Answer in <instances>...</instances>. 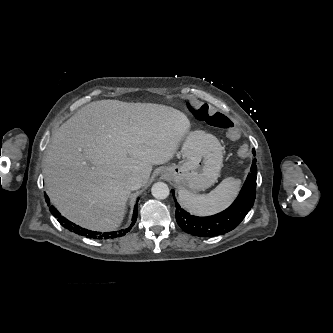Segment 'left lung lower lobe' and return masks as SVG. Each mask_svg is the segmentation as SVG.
Listing matches in <instances>:
<instances>
[{
	"label": "left lung lower lobe",
	"instance_id": "1",
	"mask_svg": "<svg viewBox=\"0 0 333 333\" xmlns=\"http://www.w3.org/2000/svg\"><path fill=\"white\" fill-rule=\"evenodd\" d=\"M255 156V150H252ZM253 161L250 174L240 191L236 200L226 210L208 217L192 216L180 205L176 204V221L178 225L187 233L198 237H211L223 235L234 228H236L247 213L253 207L256 196V179H257V166ZM173 196L174 192L172 191Z\"/></svg>",
	"mask_w": 333,
	"mask_h": 333
}]
</instances>
